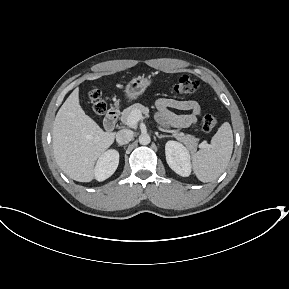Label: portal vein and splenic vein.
Returning a JSON list of instances; mask_svg holds the SVG:
<instances>
[{"mask_svg": "<svg viewBox=\"0 0 289 289\" xmlns=\"http://www.w3.org/2000/svg\"><path fill=\"white\" fill-rule=\"evenodd\" d=\"M143 119V115L140 111H133L128 117V125L135 126L139 120Z\"/></svg>", "mask_w": 289, "mask_h": 289, "instance_id": "portal-vein-and-splenic-vein-1", "label": "portal vein and splenic vein"}]
</instances>
